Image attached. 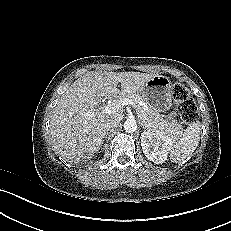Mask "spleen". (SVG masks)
<instances>
[{"instance_id":"spleen-1","label":"spleen","mask_w":231,"mask_h":231,"mask_svg":"<svg viewBox=\"0 0 231 231\" xmlns=\"http://www.w3.org/2000/svg\"><path fill=\"white\" fill-rule=\"evenodd\" d=\"M200 132V123L192 122L180 137L171 138L170 159L172 162H181L196 150L200 140Z\"/></svg>"}]
</instances>
